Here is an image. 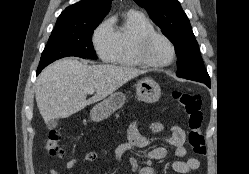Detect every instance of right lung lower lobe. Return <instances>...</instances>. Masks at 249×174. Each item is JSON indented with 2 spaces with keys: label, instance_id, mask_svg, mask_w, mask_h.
Returning a JSON list of instances; mask_svg holds the SVG:
<instances>
[{
  "label": "right lung lower lobe",
  "instance_id": "1",
  "mask_svg": "<svg viewBox=\"0 0 249 174\" xmlns=\"http://www.w3.org/2000/svg\"><path fill=\"white\" fill-rule=\"evenodd\" d=\"M42 69H43V68H38V70H37V75L41 72Z\"/></svg>",
  "mask_w": 249,
  "mask_h": 174
}]
</instances>
